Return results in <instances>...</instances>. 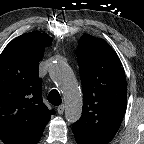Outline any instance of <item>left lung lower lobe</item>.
<instances>
[{
	"mask_svg": "<svg viewBox=\"0 0 144 144\" xmlns=\"http://www.w3.org/2000/svg\"><path fill=\"white\" fill-rule=\"evenodd\" d=\"M76 141L78 144H94V143H91V142H87V141H84L78 137H75Z\"/></svg>",
	"mask_w": 144,
	"mask_h": 144,
	"instance_id": "0a47b994",
	"label": "left lung lower lobe"
}]
</instances>
